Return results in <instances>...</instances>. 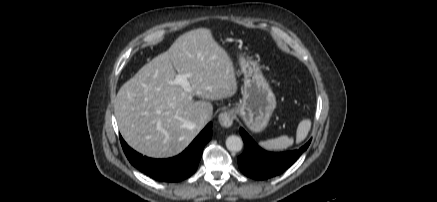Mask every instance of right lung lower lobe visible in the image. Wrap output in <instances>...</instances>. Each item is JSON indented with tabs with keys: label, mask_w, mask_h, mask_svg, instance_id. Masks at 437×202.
Masks as SVG:
<instances>
[{
	"label": "right lung lower lobe",
	"mask_w": 437,
	"mask_h": 202,
	"mask_svg": "<svg viewBox=\"0 0 437 202\" xmlns=\"http://www.w3.org/2000/svg\"><path fill=\"white\" fill-rule=\"evenodd\" d=\"M211 137L212 123L210 122L188 148L178 156L168 159H152L142 156L131 149L121 136L120 141L130 163L141 172L158 181L178 182L190 177L197 170L203 148Z\"/></svg>",
	"instance_id": "right-lung-lower-lobe-1"
}]
</instances>
